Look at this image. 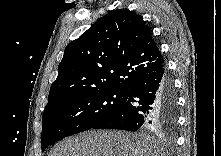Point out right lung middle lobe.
I'll list each match as a JSON object with an SVG mask.
<instances>
[{"label":"right lung middle lobe","mask_w":221,"mask_h":156,"mask_svg":"<svg viewBox=\"0 0 221 156\" xmlns=\"http://www.w3.org/2000/svg\"><path fill=\"white\" fill-rule=\"evenodd\" d=\"M127 91L101 90L75 94L44 110L41 148L99 124L126 101Z\"/></svg>","instance_id":"1"}]
</instances>
